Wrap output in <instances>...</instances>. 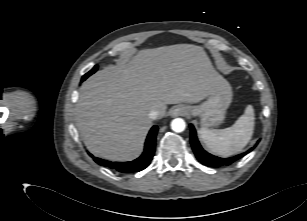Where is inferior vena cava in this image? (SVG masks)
<instances>
[{
    "label": "inferior vena cava",
    "instance_id": "obj_1",
    "mask_svg": "<svg viewBox=\"0 0 307 221\" xmlns=\"http://www.w3.org/2000/svg\"><path fill=\"white\" fill-rule=\"evenodd\" d=\"M149 118L152 119V120H155L157 118H159V111L156 110V109H153L149 112Z\"/></svg>",
    "mask_w": 307,
    "mask_h": 221
}]
</instances>
